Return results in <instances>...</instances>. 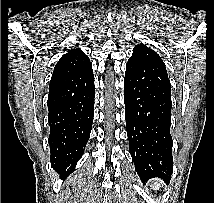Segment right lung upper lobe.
<instances>
[{
  "mask_svg": "<svg viewBox=\"0 0 214 203\" xmlns=\"http://www.w3.org/2000/svg\"><path fill=\"white\" fill-rule=\"evenodd\" d=\"M90 62L81 49H72L64 54L55 65L51 80L70 74Z\"/></svg>",
  "mask_w": 214,
  "mask_h": 203,
  "instance_id": "1",
  "label": "right lung upper lobe"
}]
</instances>
